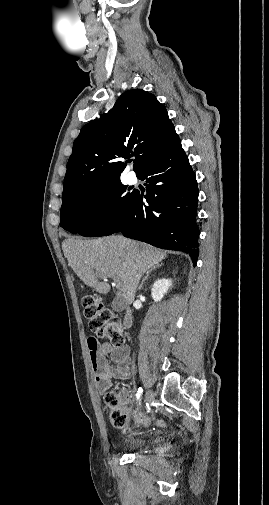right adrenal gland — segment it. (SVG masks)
Listing matches in <instances>:
<instances>
[{
    "label": "right adrenal gland",
    "mask_w": 269,
    "mask_h": 505,
    "mask_svg": "<svg viewBox=\"0 0 269 505\" xmlns=\"http://www.w3.org/2000/svg\"><path fill=\"white\" fill-rule=\"evenodd\" d=\"M161 266V264H157L156 266L152 267L150 270L147 271L145 277L143 278L140 286H139V290L142 289L143 285H144V282L147 280V278L149 277V275L151 274V272H153L154 270H156L157 268H159Z\"/></svg>",
    "instance_id": "2a0ac1e0"
}]
</instances>
